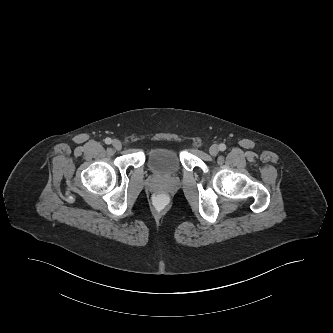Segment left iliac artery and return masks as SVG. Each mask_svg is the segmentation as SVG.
Instances as JSON below:
<instances>
[{
    "mask_svg": "<svg viewBox=\"0 0 333 333\" xmlns=\"http://www.w3.org/2000/svg\"><path fill=\"white\" fill-rule=\"evenodd\" d=\"M219 149L221 150V151H224V150H226V145L225 144H220L219 145Z\"/></svg>",
    "mask_w": 333,
    "mask_h": 333,
    "instance_id": "obj_1",
    "label": "left iliac artery"
}]
</instances>
